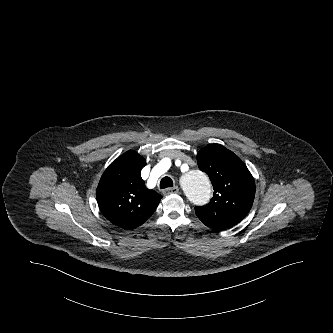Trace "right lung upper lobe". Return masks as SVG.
<instances>
[{"label":"right lung upper lobe","instance_id":"cb5924a9","mask_svg":"<svg viewBox=\"0 0 333 333\" xmlns=\"http://www.w3.org/2000/svg\"><path fill=\"white\" fill-rule=\"evenodd\" d=\"M146 160L135 151L119 156L103 173L97 187L102 214L113 224L133 229L149 219L162 195L141 178Z\"/></svg>","mask_w":333,"mask_h":333}]
</instances>
